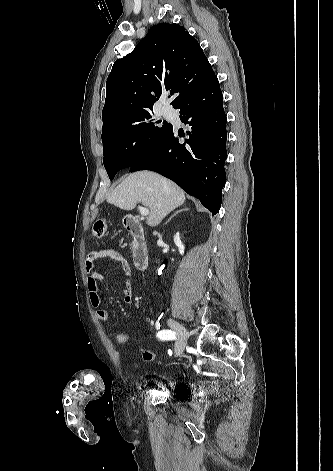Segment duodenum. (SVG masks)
<instances>
[{
    "label": "duodenum",
    "instance_id": "410a0bca",
    "mask_svg": "<svg viewBox=\"0 0 333 471\" xmlns=\"http://www.w3.org/2000/svg\"><path fill=\"white\" fill-rule=\"evenodd\" d=\"M124 224L133 239L132 256L134 266L138 270H145L148 267L149 258L144 228L140 221L131 215L125 218Z\"/></svg>",
    "mask_w": 333,
    "mask_h": 471
}]
</instances>
